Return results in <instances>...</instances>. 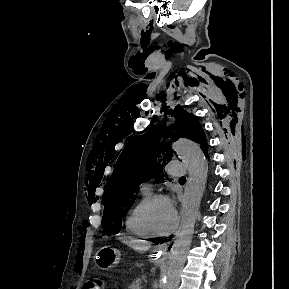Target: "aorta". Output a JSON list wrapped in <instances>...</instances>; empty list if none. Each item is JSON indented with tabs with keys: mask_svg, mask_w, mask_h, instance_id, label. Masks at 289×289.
Instances as JSON below:
<instances>
[{
	"mask_svg": "<svg viewBox=\"0 0 289 289\" xmlns=\"http://www.w3.org/2000/svg\"><path fill=\"white\" fill-rule=\"evenodd\" d=\"M173 151L187 165L189 176L185 186L181 209V223L170 250L162 289H178L194 226L207 179V161L200 146L193 141L180 139Z\"/></svg>",
	"mask_w": 289,
	"mask_h": 289,
	"instance_id": "obj_1",
	"label": "aorta"
}]
</instances>
